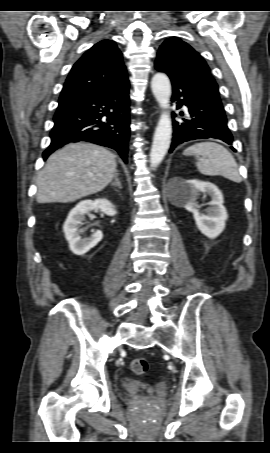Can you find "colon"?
Returning a JSON list of instances; mask_svg holds the SVG:
<instances>
[{
  "instance_id": "colon-1",
  "label": "colon",
  "mask_w": 270,
  "mask_h": 453,
  "mask_svg": "<svg viewBox=\"0 0 270 453\" xmlns=\"http://www.w3.org/2000/svg\"><path fill=\"white\" fill-rule=\"evenodd\" d=\"M148 362L143 357H138L132 360L131 369L135 374L142 375L148 371Z\"/></svg>"
}]
</instances>
